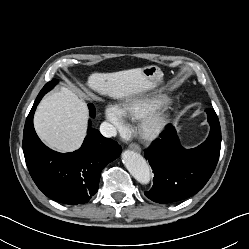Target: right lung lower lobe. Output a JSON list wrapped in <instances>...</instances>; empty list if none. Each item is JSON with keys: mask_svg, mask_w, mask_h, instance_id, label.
I'll use <instances>...</instances> for the list:
<instances>
[{"mask_svg": "<svg viewBox=\"0 0 249 249\" xmlns=\"http://www.w3.org/2000/svg\"><path fill=\"white\" fill-rule=\"evenodd\" d=\"M39 94L26 119L23 152L32 179L49 198L64 204H83L97 192L102 169L121 153V146L89 127L80 149L58 153L46 147L37 136L33 115Z\"/></svg>", "mask_w": 249, "mask_h": 249, "instance_id": "98d812e1", "label": "right lung lower lobe"}]
</instances>
